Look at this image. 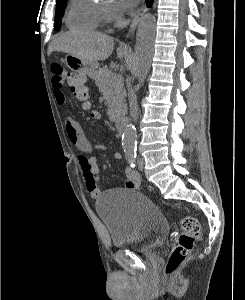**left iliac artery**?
<instances>
[{
    "mask_svg": "<svg viewBox=\"0 0 245 300\" xmlns=\"http://www.w3.org/2000/svg\"><path fill=\"white\" fill-rule=\"evenodd\" d=\"M124 151L126 154L127 162L130 164L131 167H135L136 156H137L136 146L126 147Z\"/></svg>",
    "mask_w": 245,
    "mask_h": 300,
    "instance_id": "44dca946",
    "label": "left iliac artery"
}]
</instances>
